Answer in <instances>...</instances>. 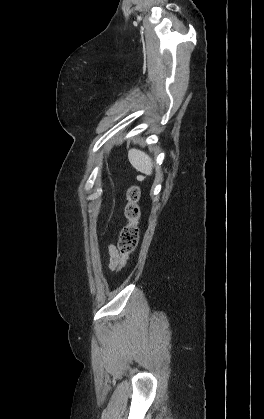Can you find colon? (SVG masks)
<instances>
[{
  "label": "colon",
  "mask_w": 264,
  "mask_h": 419,
  "mask_svg": "<svg viewBox=\"0 0 264 419\" xmlns=\"http://www.w3.org/2000/svg\"><path fill=\"white\" fill-rule=\"evenodd\" d=\"M140 191L138 187L132 186L127 192L128 203L125 209V216L128 223L122 228L119 234L118 249L120 253V265L119 269H123L130 255L136 249L139 238V220L141 216L140 208L138 206V200Z\"/></svg>",
  "instance_id": "5ec220e1"
}]
</instances>
